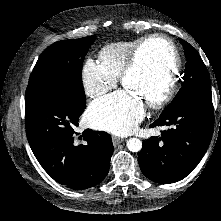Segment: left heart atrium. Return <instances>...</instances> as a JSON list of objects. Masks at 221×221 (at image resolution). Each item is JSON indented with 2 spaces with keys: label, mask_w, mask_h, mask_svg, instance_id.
Segmentation results:
<instances>
[{
  "label": "left heart atrium",
  "mask_w": 221,
  "mask_h": 221,
  "mask_svg": "<svg viewBox=\"0 0 221 221\" xmlns=\"http://www.w3.org/2000/svg\"><path fill=\"white\" fill-rule=\"evenodd\" d=\"M145 114L144 104L128 90H118L91 104L88 121L119 136L133 132Z\"/></svg>",
  "instance_id": "1"
}]
</instances>
